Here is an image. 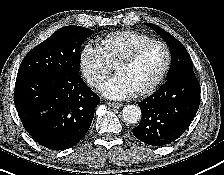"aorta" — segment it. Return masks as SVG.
<instances>
[{"mask_svg":"<svg viewBox=\"0 0 224 175\" xmlns=\"http://www.w3.org/2000/svg\"><path fill=\"white\" fill-rule=\"evenodd\" d=\"M141 110L136 105H127L122 110V118L128 124H136L141 119Z\"/></svg>","mask_w":224,"mask_h":175,"instance_id":"obj_1","label":"aorta"}]
</instances>
